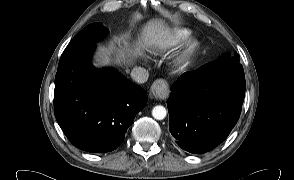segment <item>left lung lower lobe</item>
<instances>
[{
    "instance_id": "1",
    "label": "left lung lower lobe",
    "mask_w": 294,
    "mask_h": 180,
    "mask_svg": "<svg viewBox=\"0 0 294 180\" xmlns=\"http://www.w3.org/2000/svg\"><path fill=\"white\" fill-rule=\"evenodd\" d=\"M167 100L169 131L184 150L201 154L222 143L237 123L245 95L239 62L215 60L181 75Z\"/></svg>"
}]
</instances>
